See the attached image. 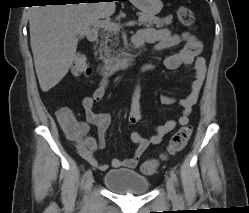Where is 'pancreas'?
<instances>
[{"label": "pancreas", "mask_w": 249, "mask_h": 213, "mask_svg": "<svg viewBox=\"0 0 249 213\" xmlns=\"http://www.w3.org/2000/svg\"><path fill=\"white\" fill-rule=\"evenodd\" d=\"M139 20V25L144 26H156L157 28H161L164 26H168L172 23V16H167L165 18H159L154 15H147L144 13H137ZM117 24V23H116ZM115 31L109 29H103L100 32V46L98 49L99 59L104 61L106 64H113L115 60H117L116 56L111 54H117L116 51L112 49V46H116L113 41V36L115 35ZM110 44V45H109Z\"/></svg>", "instance_id": "pancreas-1"}]
</instances>
